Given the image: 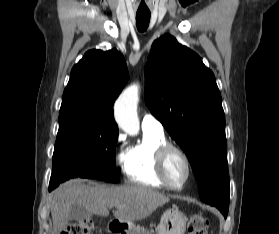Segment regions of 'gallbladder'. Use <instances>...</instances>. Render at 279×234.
I'll list each match as a JSON object with an SVG mask.
<instances>
[{
    "mask_svg": "<svg viewBox=\"0 0 279 234\" xmlns=\"http://www.w3.org/2000/svg\"><path fill=\"white\" fill-rule=\"evenodd\" d=\"M91 213L83 206L74 204L70 211L68 218L70 220H84L90 219Z\"/></svg>",
    "mask_w": 279,
    "mask_h": 234,
    "instance_id": "obj_1",
    "label": "gallbladder"
}]
</instances>
